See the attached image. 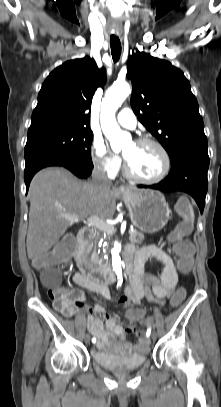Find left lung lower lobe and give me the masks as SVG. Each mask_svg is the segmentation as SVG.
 Here are the masks:
<instances>
[{
	"instance_id": "obj_1",
	"label": "left lung lower lobe",
	"mask_w": 221,
	"mask_h": 407,
	"mask_svg": "<svg viewBox=\"0 0 221 407\" xmlns=\"http://www.w3.org/2000/svg\"><path fill=\"white\" fill-rule=\"evenodd\" d=\"M207 147V143H192L182 147L171 159V171L163 181L150 186L138 185V187L186 192L195 199L202 213L208 188Z\"/></svg>"
}]
</instances>
